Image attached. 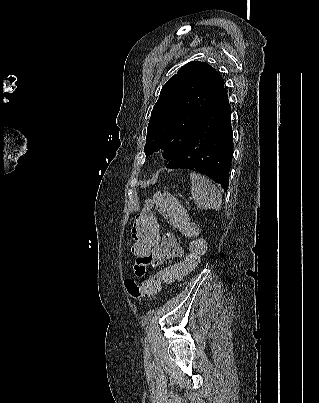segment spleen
Returning <instances> with one entry per match:
<instances>
[{
    "mask_svg": "<svg viewBox=\"0 0 319 403\" xmlns=\"http://www.w3.org/2000/svg\"><path fill=\"white\" fill-rule=\"evenodd\" d=\"M191 194L197 207L219 210L222 204L221 191L205 176L191 172Z\"/></svg>",
    "mask_w": 319,
    "mask_h": 403,
    "instance_id": "obj_1",
    "label": "spleen"
}]
</instances>
